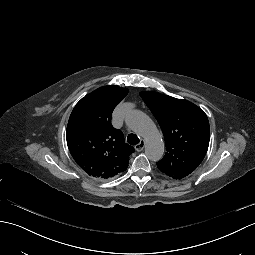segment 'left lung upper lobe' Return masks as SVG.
Listing matches in <instances>:
<instances>
[{"mask_svg": "<svg viewBox=\"0 0 255 255\" xmlns=\"http://www.w3.org/2000/svg\"><path fill=\"white\" fill-rule=\"evenodd\" d=\"M140 96L157 119L166 143L165 156L157 167L173 179L192 173L204 159L210 140L206 114L193 103L157 92Z\"/></svg>", "mask_w": 255, "mask_h": 255, "instance_id": "1", "label": "left lung upper lobe"}]
</instances>
